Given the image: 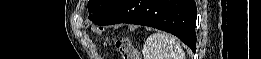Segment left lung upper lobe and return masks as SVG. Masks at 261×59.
I'll return each instance as SVG.
<instances>
[{
  "mask_svg": "<svg viewBox=\"0 0 261 59\" xmlns=\"http://www.w3.org/2000/svg\"><path fill=\"white\" fill-rule=\"evenodd\" d=\"M119 0H89V18L97 23L107 12H109Z\"/></svg>",
  "mask_w": 261,
  "mask_h": 59,
  "instance_id": "5c2ea615",
  "label": "left lung upper lobe"
}]
</instances>
